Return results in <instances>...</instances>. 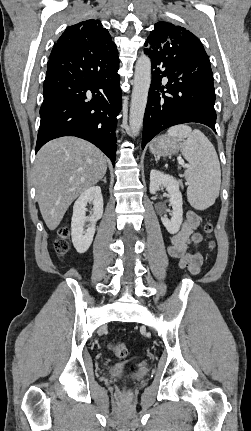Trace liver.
<instances>
[{
	"mask_svg": "<svg viewBox=\"0 0 251 431\" xmlns=\"http://www.w3.org/2000/svg\"><path fill=\"white\" fill-rule=\"evenodd\" d=\"M106 170L105 155L77 137H61L40 149L34 181L40 212L50 230L58 227L71 203L97 184Z\"/></svg>",
	"mask_w": 251,
	"mask_h": 431,
	"instance_id": "6515ba94",
	"label": "liver"
}]
</instances>
